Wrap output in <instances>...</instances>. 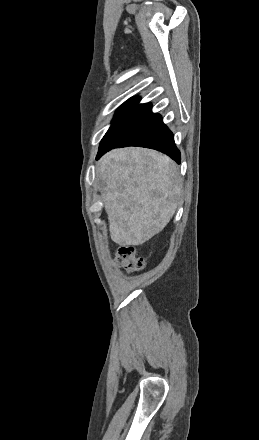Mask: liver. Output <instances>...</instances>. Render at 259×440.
I'll list each match as a JSON object with an SVG mask.
<instances>
[{"label":"liver","mask_w":259,"mask_h":440,"mask_svg":"<svg viewBox=\"0 0 259 440\" xmlns=\"http://www.w3.org/2000/svg\"><path fill=\"white\" fill-rule=\"evenodd\" d=\"M97 172L113 242L137 246L161 232L181 196L179 170L166 155L129 147L107 153Z\"/></svg>","instance_id":"obj_1"}]
</instances>
